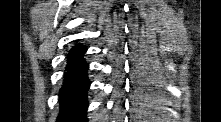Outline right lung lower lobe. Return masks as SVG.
<instances>
[{"instance_id": "obj_1", "label": "right lung lower lobe", "mask_w": 221, "mask_h": 122, "mask_svg": "<svg viewBox=\"0 0 221 122\" xmlns=\"http://www.w3.org/2000/svg\"><path fill=\"white\" fill-rule=\"evenodd\" d=\"M86 47L76 45L68 54V64L60 90V112L57 122H86L88 64L83 59Z\"/></svg>"}]
</instances>
